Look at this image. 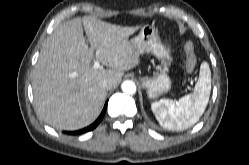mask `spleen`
<instances>
[{"label":"spleen","instance_id":"spleen-1","mask_svg":"<svg viewBox=\"0 0 249 165\" xmlns=\"http://www.w3.org/2000/svg\"><path fill=\"white\" fill-rule=\"evenodd\" d=\"M211 92V71L207 62L200 66L194 92L177 102L162 99L151 104L158 122L170 130H184L193 126L204 113Z\"/></svg>","mask_w":249,"mask_h":165}]
</instances>
